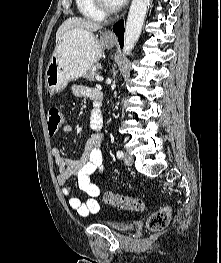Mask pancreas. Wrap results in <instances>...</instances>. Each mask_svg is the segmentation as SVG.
Returning <instances> with one entry per match:
<instances>
[{"label": "pancreas", "instance_id": "cf45deb5", "mask_svg": "<svg viewBox=\"0 0 221 263\" xmlns=\"http://www.w3.org/2000/svg\"><path fill=\"white\" fill-rule=\"evenodd\" d=\"M100 68L98 64L93 65L84 75V77L89 81H95L97 76V70Z\"/></svg>", "mask_w": 221, "mask_h": 263}]
</instances>
